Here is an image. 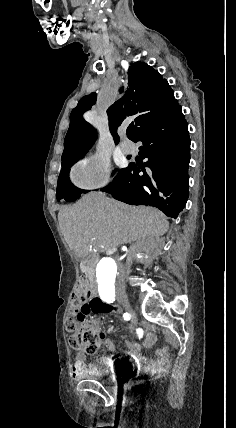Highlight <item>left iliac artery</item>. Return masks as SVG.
Segmentation results:
<instances>
[{
  "label": "left iliac artery",
  "mask_w": 236,
  "mask_h": 428,
  "mask_svg": "<svg viewBox=\"0 0 236 428\" xmlns=\"http://www.w3.org/2000/svg\"><path fill=\"white\" fill-rule=\"evenodd\" d=\"M100 298L107 302L113 303L115 301V291H99Z\"/></svg>",
  "instance_id": "left-iliac-artery-1"
}]
</instances>
